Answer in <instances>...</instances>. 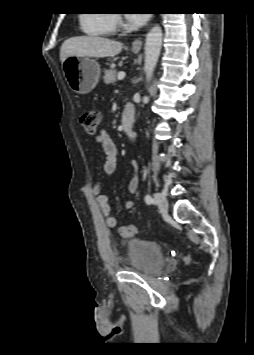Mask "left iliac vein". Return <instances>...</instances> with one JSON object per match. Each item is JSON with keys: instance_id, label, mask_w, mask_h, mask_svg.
<instances>
[{"instance_id": "4c4485c4", "label": "left iliac vein", "mask_w": 254, "mask_h": 355, "mask_svg": "<svg viewBox=\"0 0 254 355\" xmlns=\"http://www.w3.org/2000/svg\"><path fill=\"white\" fill-rule=\"evenodd\" d=\"M155 203L159 208L160 212L165 214L168 210V201L164 194L156 193L155 194Z\"/></svg>"}]
</instances>
